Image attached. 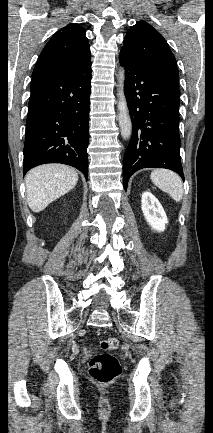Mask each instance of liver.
I'll return each mask as SVG.
<instances>
[{
  "mask_svg": "<svg viewBox=\"0 0 213 433\" xmlns=\"http://www.w3.org/2000/svg\"><path fill=\"white\" fill-rule=\"evenodd\" d=\"M78 181L75 169L62 164H46L31 169L25 176L27 203L41 212L51 202L72 190Z\"/></svg>",
  "mask_w": 213,
  "mask_h": 433,
  "instance_id": "liver-1",
  "label": "liver"
}]
</instances>
